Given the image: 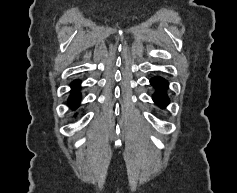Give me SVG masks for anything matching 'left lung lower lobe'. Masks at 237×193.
Masks as SVG:
<instances>
[{
    "mask_svg": "<svg viewBox=\"0 0 237 193\" xmlns=\"http://www.w3.org/2000/svg\"><path fill=\"white\" fill-rule=\"evenodd\" d=\"M151 84L156 88V93L153 95V100L161 107L166 106L169 103V99L166 95L168 83L161 77H154L150 80Z\"/></svg>",
    "mask_w": 237,
    "mask_h": 193,
    "instance_id": "0a47b994",
    "label": "left lung lower lobe"
}]
</instances>
